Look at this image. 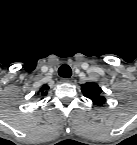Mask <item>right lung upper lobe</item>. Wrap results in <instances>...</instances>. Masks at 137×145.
I'll return each mask as SVG.
<instances>
[{"instance_id": "obj_1", "label": "right lung upper lobe", "mask_w": 137, "mask_h": 145, "mask_svg": "<svg viewBox=\"0 0 137 145\" xmlns=\"http://www.w3.org/2000/svg\"><path fill=\"white\" fill-rule=\"evenodd\" d=\"M49 89V86L48 85H46V84H44L43 86H42V88L40 89V91H39V95L41 96V97H44V96H46L47 95V90Z\"/></svg>"}]
</instances>
